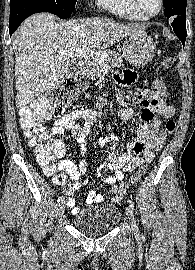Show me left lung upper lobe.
Masks as SVG:
<instances>
[{"label":"left lung upper lobe","mask_w":195,"mask_h":270,"mask_svg":"<svg viewBox=\"0 0 195 270\" xmlns=\"http://www.w3.org/2000/svg\"><path fill=\"white\" fill-rule=\"evenodd\" d=\"M165 16L171 19L177 15H186L187 0H163Z\"/></svg>","instance_id":"1"}]
</instances>
